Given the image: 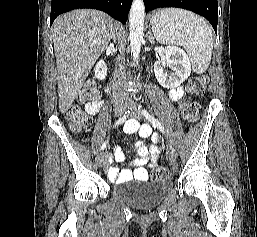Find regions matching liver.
<instances>
[{"instance_id":"1","label":"liver","mask_w":257,"mask_h":237,"mask_svg":"<svg viewBox=\"0 0 257 237\" xmlns=\"http://www.w3.org/2000/svg\"><path fill=\"white\" fill-rule=\"evenodd\" d=\"M115 32L113 19L92 9L60 15L53 24L59 109L65 113Z\"/></svg>"}]
</instances>
